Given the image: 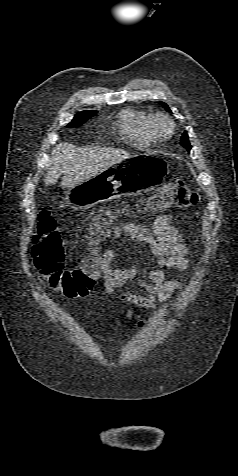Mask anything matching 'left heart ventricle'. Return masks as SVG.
<instances>
[{"instance_id": "b2bd125f", "label": "left heart ventricle", "mask_w": 238, "mask_h": 476, "mask_svg": "<svg viewBox=\"0 0 238 476\" xmlns=\"http://www.w3.org/2000/svg\"><path fill=\"white\" fill-rule=\"evenodd\" d=\"M163 129H164V130H167V129H168V126H167V125H164V126H163Z\"/></svg>"}]
</instances>
